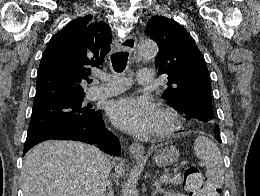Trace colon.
<instances>
[{
	"instance_id": "obj_1",
	"label": "colon",
	"mask_w": 260,
	"mask_h": 196,
	"mask_svg": "<svg viewBox=\"0 0 260 196\" xmlns=\"http://www.w3.org/2000/svg\"><path fill=\"white\" fill-rule=\"evenodd\" d=\"M183 176L188 192L200 191L206 186V179L203 177L200 169L194 164H188L184 168Z\"/></svg>"
}]
</instances>
